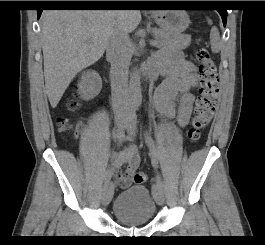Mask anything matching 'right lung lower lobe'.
<instances>
[{
	"instance_id": "98d812e1",
	"label": "right lung lower lobe",
	"mask_w": 265,
	"mask_h": 245,
	"mask_svg": "<svg viewBox=\"0 0 265 245\" xmlns=\"http://www.w3.org/2000/svg\"><path fill=\"white\" fill-rule=\"evenodd\" d=\"M52 6H79V7H118L122 6L121 1H81L80 3H54ZM42 9H38V18H40Z\"/></svg>"
}]
</instances>
